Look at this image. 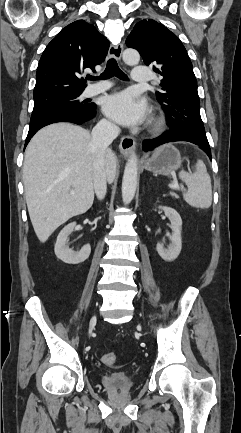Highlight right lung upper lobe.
I'll return each instance as SVG.
<instances>
[{
    "label": "right lung upper lobe",
    "instance_id": "right-lung-upper-lobe-1",
    "mask_svg": "<svg viewBox=\"0 0 241 433\" xmlns=\"http://www.w3.org/2000/svg\"><path fill=\"white\" fill-rule=\"evenodd\" d=\"M109 41L97 29L77 20L64 29L44 50L36 73L33 96L56 91H83L85 80L79 75L85 69L104 61Z\"/></svg>",
    "mask_w": 241,
    "mask_h": 433
}]
</instances>
